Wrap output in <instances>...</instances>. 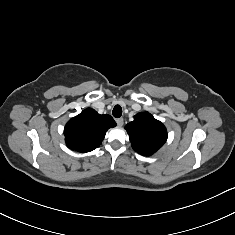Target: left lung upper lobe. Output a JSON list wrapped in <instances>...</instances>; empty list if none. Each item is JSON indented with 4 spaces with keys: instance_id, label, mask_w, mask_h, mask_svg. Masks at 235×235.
<instances>
[{
    "instance_id": "5c2ea615",
    "label": "left lung upper lobe",
    "mask_w": 235,
    "mask_h": 235,
    "mask_svg": "<svg viewBox=\"0 0 235 235\" xmlns=\"http://www.w3.org/2000/svg\"><path fill=\"white\" fill-rule=\"evenodd\" d=\"M132 148L139 154L150 156L167 140V131L162 122L150 113L142 112L134 116V120L125 127Z\"/></svg>"
}]
</instances>
